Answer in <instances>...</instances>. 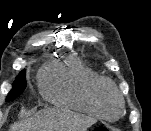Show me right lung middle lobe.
Listing matches in <instances>:
<instances>
[{"label": "right lung middle lobe", "instance_id": "dd1d6c3e", "mask_svg": "<svg viewBox=\"0 0 151 131\" xmlns=\"http://www.w3.org/2000/svg\"><path fill=\"white\" fill-rule=\"evenodd\" d=\"M25 69L22 70L13 82V88L6 97V101H12L17 98L26 88Z\"/></svg>", "mask_w": 151, "mask_h": 131}]
</instances>
